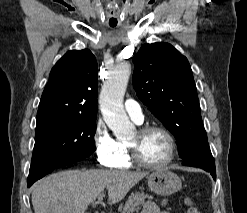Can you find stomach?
Segmentation results:
<instances>
[{"label": "stomach", "mask_w": 247, "mask_h": 213, "mask_svg": "<svg viewBox=\"0 0 247 213\" xmlns=\"http://www.w3.org/2000/svg\"><path fill=\"white\" fill-rule=\"evenodd\" d=\"M148 186L157 195L170 196L182 188V182L177 174L161 169L148 176Z\"/></svg>", "instance_id": "obj_1"}]
</instances>
